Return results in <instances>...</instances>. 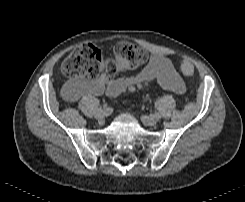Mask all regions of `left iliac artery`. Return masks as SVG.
Returning <instances> with one entry per match:
<instances>
[{
    "mask_svg": "<svg viewBox=\"0 0 245 202\" xmlns=\"http://www.w3.org/2000/svg\"><path fill=\"white\" fill-rule=\"evenodd\" d=\"M160 117H161V116H160L159 113H156V114H155V118H156V119H159Z\"/></svg>",
    "mask_w": 245,
    "mask_h": 202,
    "instance_id": "left-iliac-artery-1",
    "label": "left iliac artery"
}]
</instances>
